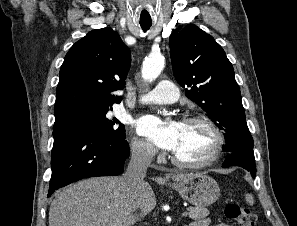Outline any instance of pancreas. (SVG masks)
Instances as JSON below:
<instances>
[{
	"instance_id": "cf45deb5",
	"label": "pancreas",
	"mask_w": 297,
	"mask_h": 226,
	"mask_svg": "<svg viewBox=\"0 0 297 226\" xmlns=\"http://www.w3.org/2000/svg\"><path fill=\"white\" fill-rule=\"evenodd\" d=\"M188 215L189 218L193 220L204 219L209 215V211L204 207H188Z\"/></svg>"
}]
</instances>
